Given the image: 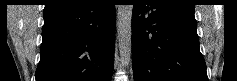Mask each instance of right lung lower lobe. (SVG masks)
<instances>
[{
	"label": "right lung lower lobe",
	"mask_w": 237,
	"mask_h": 81,
	"mask_svg": "<svg viewBox=\"0 0 237 81\" xmlns=\"http://www.w3.org/2000/svg\"><path fill=\"white\" fill-rule=\"evenodd\" d=\"M43 17L36 81H111L115 48L112 0H80Z\"/></svg>",
	"instance_id": "obj_1"
}]
</instances>
